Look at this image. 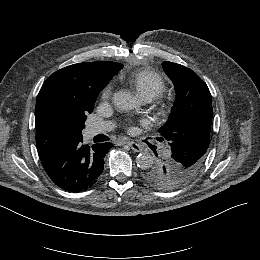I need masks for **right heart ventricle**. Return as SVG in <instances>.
Instances as JSON below:
<instances>
[{
	"mask_svg": "<svg viewBox=\"0 0 260 260\" xmlns=\"http://www.w3.org/2000/svg\"><path fill=\"white\" fill-rule=\"evenodd\" d=\"M128 83L142 100L151 101L166 89L165 79L148 70L133 71L128 77Z\"/></svg>",
	"mask_w": 260,
	"mask_h": 260,
	"instance_id": "right-heart-ventricle-1",
	"label": "right heart ventricle"
}]
</instances>
